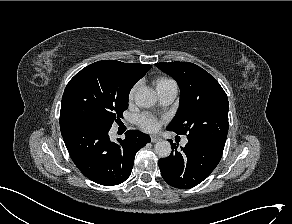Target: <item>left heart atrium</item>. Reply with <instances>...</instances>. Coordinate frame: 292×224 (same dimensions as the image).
<instances>
[{
	"label": "left heart atrium",
	"mask_w": 292,
	"mask_h": 224,
	"mask_svg": "<svg viewBox=\"0 0 292 224\" xmlns=\"http://www.w3.org/2000/svg\"><path fill=\"white\" fill-rule=\"evenodd\" d=\"M140 126L147 131H156L159 128V122L150 114H142L138 118Z\"/></svg>",
	"instance_id": "39dd6f15"
}]
</instances>
